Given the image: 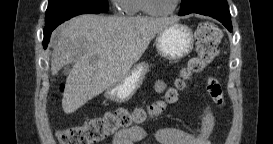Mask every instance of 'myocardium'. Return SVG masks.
<instances>
[{
	"label": "myocardium",
	"instance_id": "1",
	"mask_svg": "<svg viewBox=\"0 0 273 144\" xmlns=\"http://www.w3.org/2000/svg\"><path fill=\"white\" fill-rule=\"evenodd\" d=\"M181 0H175L173 6L168 10H156L150 6V0H141V9L148 15L152 16H166L175 12Z\"/></svg>",
	"mask_w": 273,
	"mask_h": 144
}]
</instances>
